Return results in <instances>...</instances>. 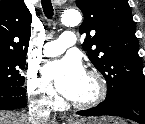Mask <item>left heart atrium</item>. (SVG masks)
Returning a JSON list of instances; mask_svg holds the SVG:
<instances>
[{
	"mask_svg": "<svg viewBox=\"0 0 145 124\" xmlns=\"http://www.w3.org/2000/svg\"><path fill=\"white\" fill-rule=\"evenodd\" d=\"M44 73L54 82L57 90L68 99L76 96L86 76L80 60L74 56L47 65Z\"/></svg>",
	"mask_w": 145,
	"mask_h": 124,
	"instance_id": "1",
	"label": "left heart atrium"
}]
</instances>
